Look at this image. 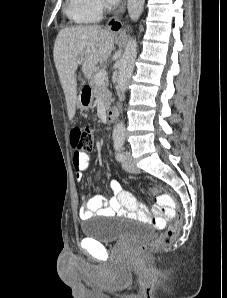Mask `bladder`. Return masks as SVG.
<instances>
[{
  "mask_svg": "<svg viewBox=\"0 0 227 298\" xmlns=\"http://www.w3.org/2000/svg\"><path fill=\"white\" fill-rule=\"evenodd\" d=\"M81 232L85 237L102 243L145 238L153 234L148 224L133 219L116 218L113 220H88L81 224Z\"/></svg>",
  "mask_w": 227,
  "mask_h": 298,
  "instance_id": "obj_1",
  "label": "bladder"
}]
</instances>
